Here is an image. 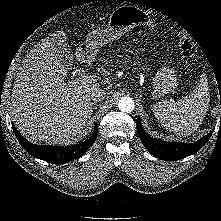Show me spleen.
Masks as SVG:
<instances>
[{
    "label": "spleen",
    "instance_id": "spleen-1",
    "mask_svg": "<svg viewBox=\"0 0 221 221\" xmlns=\"http://www.w3.org/2000/svg\"><path fill=\"white\" fill-rule=\"evenodd\" d=\"M209 101L208 83L203 75L189 95L168 104L159 102L153 105V112L166 129L178 136H187L202 123Z\"/></svg>",
    "mask_w": 221,
    "mask_h": 221
}]
</instances>
